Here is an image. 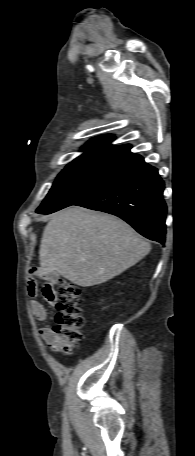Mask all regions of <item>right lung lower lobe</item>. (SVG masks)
<instances>
[{
    "label": "right lung lower lobe",
    "instance_id": "right-lung-lower-lobe-1",
    "mask_svg": "<svg viewBox=\"0 0 195 456\" xmlns=\"http://www.w3.org/2000/svg\"><path fill=\"white\" fill-rule=\"evenodd\" d=\"M163 190L157 169L142 160L75 205L116 215L141 235L164 244L167 206Z\"/></svg>",
    "mask_w": 195,
    "mask_h": 456
}]
</instances>
